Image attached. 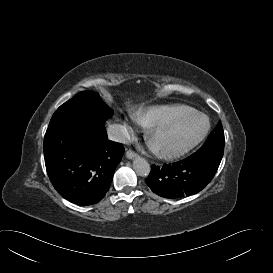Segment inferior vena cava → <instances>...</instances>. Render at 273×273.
Here are the masks:
<instances>
[{"label": "inferior vena cava", "instance_id": "inferior-vena-cava-1", "mask_svg": "<svg viewBox=\"0 0 273 273\" xmlns=\"http://www.w3.org/2000/svg\"><path fill=\"white\" fill-rule=\"evenodd\" d=\"M108 132V138L110 140L121 142V143H127L129 140V134L127 129L119 124H113L110 125L107 129Z\"/></svg>", "mask_w": 273, "mask_h": 273}]
</instances>
